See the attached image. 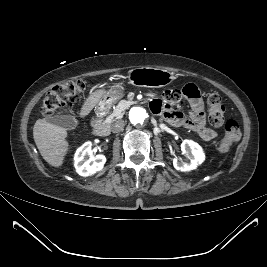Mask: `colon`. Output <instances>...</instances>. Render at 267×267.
Returning <instances> with one entry per match:
<instances>
[{"label":"colon","instance_id":"5ec220e1","mask_svg":"<svg viewBox=\"0 0 267 267\" xmlns=\"http://www.w3.org/2000/svg\"><path fill=\"white\" fill-rule=\"evenodd\" d=\"M86 87L87 85L83 80H70L57 84L43 98L42 113L51 115L62 107L80 101ZM208 117L213 126L224 125L225 134L219 143L218 149L221 153L227 152L240 139L241 132L236 120L229 119L225 121V105L216 93H212L208 97Z\"/></svg>","mask_w":267,"mask_h":267}]
</instances>
